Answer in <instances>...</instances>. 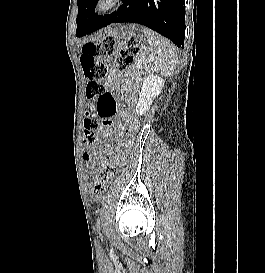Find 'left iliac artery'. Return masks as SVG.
Here are the masks:
<instances>
[{"label": "left iliac artery", "mask_w": 265, "mask_h": 273, "mask_svg": "<svg viewBox=\"0 0 265 273\" xmlns=\"http://www.w3.org/2000/svg\"><path fill=\"white\" fill-rule=\"evenodd\" d=\"M100 229H101V228H100V219L98 218V219H97V230L100 231Z\"/></svg>", "instance_id": "44dca946"}]
</instances>
